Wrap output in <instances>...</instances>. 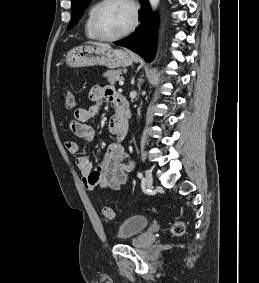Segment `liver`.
I'll return each mask as SVG.
<instances>
[{"label": "liver", "instance_id": "1", "mask_svg": "<svg viewBox=\"0 0 259 283\" xmlns=\"http://www.w3.org/2000/svg\"><path fill=\"white\" fill-rule=\"evenodd\" d=\"M93 44L98 47L111 48L110 45L104 43H93Z\"/></svg>", "mask_w": 259, "mask_h": 283}]
</instances>
